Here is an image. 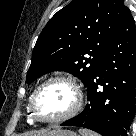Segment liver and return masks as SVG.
I'll list each match as a JSON object with an SVG mask.
<instances>
[{
	"instance_id": "6515ba94",
	"label": "liver",
	"mask_w": 136,
	"mask_h": 136,
	"mask_svg": "<svg viewBox=\"0 0 136 136\" xmlns=\"http://www.w3.org/2000/svg\"><path fill=\"white\" fill-rule=\"evenodd\" d=\"M50 133V130H41L34 132L32 136H48Z\"/></svg>"
}]
</instances>
